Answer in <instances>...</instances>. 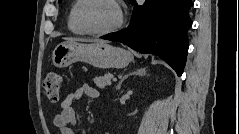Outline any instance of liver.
I'll return each instance as SVG.
<instances>
[{"instance_id":"obj_1","label":"liver","mask_w":239,"mask_h":134,"mask_svg":"<svg viewBox=\"0 0 239 134\" xmlns=\"http://www.w3.org/2000/svg\"><path fill=\"white\" fill-rule=\"evenodd\" d=\"M68 41H77V40H80V41H88L87 39H77V38H67ZM102 42V41H101Z\"/></svg>"}]
</instances>
